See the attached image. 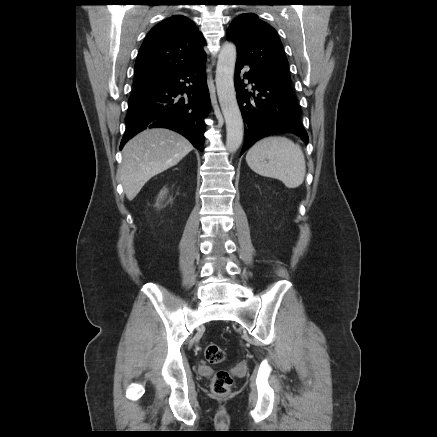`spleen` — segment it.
<instances>
[{"label": "spleen", "instance_id": "3e777b00", "mask_svg": "<svg viewBox=\"0 0 437 437\" xmlns=\"http://www.w3.org/2000/svg\"><path fill=\"white\" fill-rule=\"evenodd\" d=\"M246 162L257 174L278 179L290 189L300 186L306 174L301 147L286 137L259 140L247 152Z\"/></svg>", "mask_w": 437, "mask_h": 437}]
</instances>
